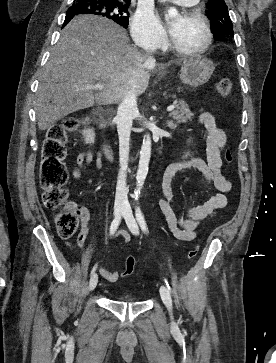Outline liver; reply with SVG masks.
I'll use <instances>...</instances> for the list:
<instances>
[{"label": "liver", "instance_id": "6515ba94", "mask_svg": "<svg viewBox=\"0 0 276 363\" xmlns=\"http://www.w3.org/2000/svg\"><path fill=\"white\" fill-rule=\"evenodd\" d=\"M145 57L129 45L126 31L94 15L74 17L61 32L39 76L38 127L46 130L81 109L120 102L131 88L145 92L150 80ZM103 84L102 90L88 88Z\"/></svg>", "mask_w": 276, "mask_h": 363}]
</instances>
